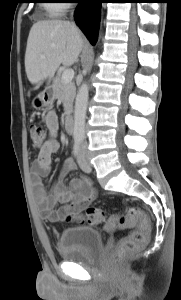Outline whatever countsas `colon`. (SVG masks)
<instances>
[{
  "instance_id": "colon-1",
  "label": "colon",
  "mask_w": 181,
  "mask_h": 300,
  "mask_svg": "<svg viewBox=\"0 0 181 300\" xmlns=\"http://www.w3.org/2000/svg\"><path fill=\"white\" fill-rule=\"evenodd\" d=\"M29 137L33 147H41L46 138L47 130L40 125L32 124L29 127ZM91 225L105 223L107 231L135 227L126 237L118 243L113 259L121 262L134 254L140 247L144 246L150 236V221L147 214L139 208L131 207L124 215H116L106 219L105 213L97 208H89L83 219Z\"/></svg>"
}]
</instances>
